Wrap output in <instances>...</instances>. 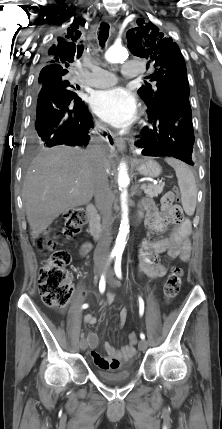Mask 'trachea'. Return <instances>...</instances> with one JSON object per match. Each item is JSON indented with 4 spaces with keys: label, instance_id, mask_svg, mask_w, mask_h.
Returning a JSON list of instances; mask_svg holds the SVG:
<instances>
[{
    "label": "trachea",
    "instance_id": "obj_1",
    "mask_svg": "<svg viewBox=\"0 0 222 429\" xmlns=\"http://www.w3.org/2000/svg\"><path fill=\"white\" fill-rule=\"evenodd\" d=\"M109 24L108 23H101L100 25V31H99V41H100V45L104 46L106 40L108 39L109 36Z\"/></svg>",
    "mask_w": 222,
    "mask_h": 429
}]
</instances>
